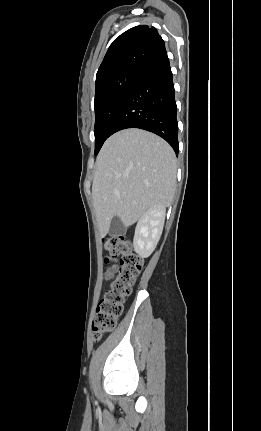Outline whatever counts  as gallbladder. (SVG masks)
<instances>
[{
    "mask_svg": "<svg viewBox=\"0 0 261 431\" xmlns=\"http://www.w3.org/2000/svg\"><path fill=\"white\" fill-rule=\"evenodd\" d=\"M126 232V227L118 217H114L110 224L109 235L116 237Z\"/></svg>",
    "mask_w": 261,
    "mask_h": 431,
    "instance_id": "1",
    "label": "gallbladder"
}]
</instances>
